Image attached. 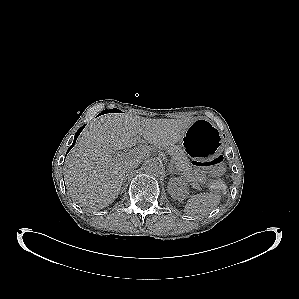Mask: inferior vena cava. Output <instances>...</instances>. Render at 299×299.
<instances>
[{"label": "inferior vena cava", "mask_w": 299, "mask_h": 299, "mask_svg": "<svg viewBox=\"0 0 299 299\" xmlns=\"http://www.w3.org/2000/svg\"><path fill=\"white\" fill-rule=\"evenodd\" d=\"M138 165H139V161H132L129 165L128 171L136 169Z\"/></svg>", "instance_id": "1"}]
</instances>
